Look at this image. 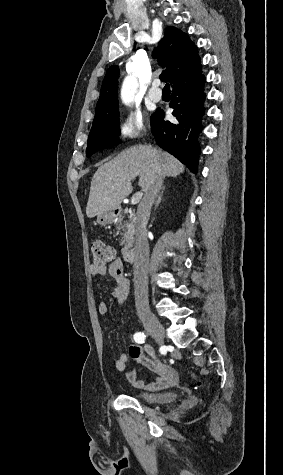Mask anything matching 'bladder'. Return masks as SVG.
I'll use <instances>...</instances> for the list:
<instances>
[{"label": "bladder", "instance_id": "obj_1", "mask_svg": "<svg viewBox=\"0 0 283 475\" xmlns=\"http://www.w3.org/2000/svg\"><path fill=\"white\" fill-rule=\"evenodd\" d=\"M133 398L150 404L165 403L167 400H174L176 394L172 392L168 393H148L146 391H137L133 394Z\"/></svg>", "mask_w": 283, "mask_h": 475}]
</instances>
